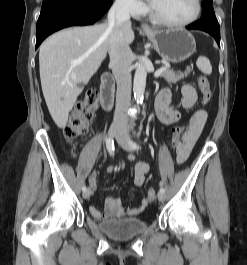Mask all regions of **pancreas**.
Segmentation results:
<instances>
[{"label": "pancreas", "mask_w": 247, "mask_h": 265, "mask_svg": "<svg viewBox=\"0 0 247 265\" xmlns=\"http://www.w3.org/2000/svg\"><path fill=\"white\" fill-rule=\"evenodd\" d=\"M164 71L161 74V77H163L166 81L169 83H177L179 80L183 79L184 77H187L191 69L188 67L184 73L181 72H174L169 68V66H164Z\"/></svg>", "instance_id": "pancreas-1"}]
</instances>
